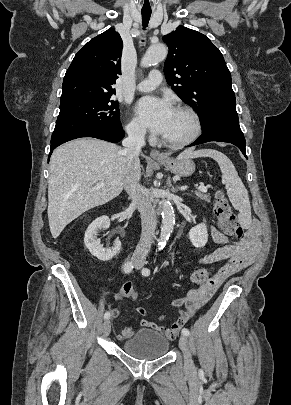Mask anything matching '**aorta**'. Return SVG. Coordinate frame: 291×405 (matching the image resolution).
Listing matches in <instances>:
<instances>
[{
    "mask_svg": "<svg viewBox=\"0 0 291 405\" xmlns=\"http://www.w3.org/2000/svg\"><path fill=\"white\" fill-rule=\"evenodd\" d=\"M168 49L164 44L152 45L148 48L145 55L141 60L142 67H150L156 63H159L166 59ZM162 225L161 233L158 242L159 249L163 248L168 241L170 234L172 233L175 224V214L171 203L163 199L162 200Z\"/></svg>",
    "mask_w": 291,
    "mask_h": 405,
    "instance_id": "aorta-1",
    "label": "aorta"
}]
</instances>
